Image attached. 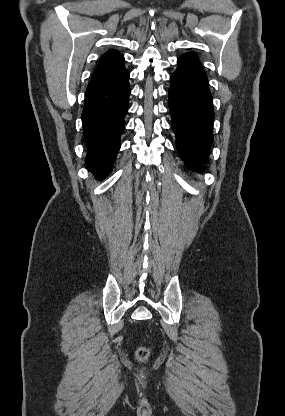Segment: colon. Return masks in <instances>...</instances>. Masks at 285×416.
<instances>
[{
    "mask_svg": "<svg viewBox=\"0 0 285 416\" xmlns=\"http://www.w3.org/2000/svg\"><path fill=\"white\" fill-rule=\"evenodd\" d=\"M147 356H148V351L145 348H139L136 351V358L140 361L145 360Z\"/></svg>",
    "mask_w": 285,
    "mask_h": 416,
    "instance_id": "obj_1",
    "label": "colon"
}]
</instances>
